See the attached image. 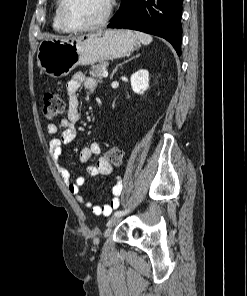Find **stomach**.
<instances>
[{"instance_id": "0dacf381", "label": "stomach", "mask_w": 247, "mask_h": 296, "mask_svg": "<svg viewBox=\"0 0 247 296\" xmlns=\"http://www.w3.org/2000/svg\"><path fill=\"white\" fill-rule=\"evenodd\" d=\"M139 45L138 37L129 30H106L70 38L50 37L40 42L37 61L46 74L61 78L79 65L130 55Z\"/></svg>"}]
</instances>
